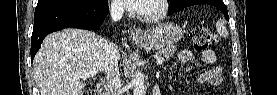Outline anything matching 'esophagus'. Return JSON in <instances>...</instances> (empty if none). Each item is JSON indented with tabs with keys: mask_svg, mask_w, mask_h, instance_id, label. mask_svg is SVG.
Instances as JSON below:
<instances>
[{
	"mask_svg": "<svg viewBox=\"0 0 277 95\" xmlns=\"http://www.w3.org/2000/svg\"><path fill=\"white\" fill-rule=\"evenodd\" d=\"M131 36L133 39H142L144 38V32L141 28H134L131 31Z\"/></svg>",
	"mask_w": 277,
	"mask_h": 95,
	"instance_id": "esophagus-1",
	"label": "esophagus"
}]
</instances>
